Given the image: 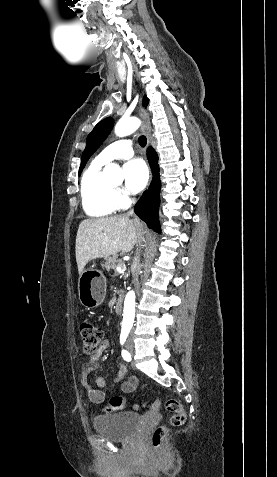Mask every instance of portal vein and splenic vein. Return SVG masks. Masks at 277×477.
Segmentation results:
<instances>
[{
	"instance_id": "obj_1",
	"label": "portal vein and splenic vein",
	"mask_w": 277,
	"mask_h": 477,
	"mask_svg": "<svg viewBox=\"0 0 277 477\" xmlns=\"http://www.w3.org/2000/svg\"><path fill=\"white\" fill-rule=\"evenodd\" d=\"M126 269V266L124 263H120L117 265L116 270L119 272H123Z\"/></svg>"
}]
</instances>
